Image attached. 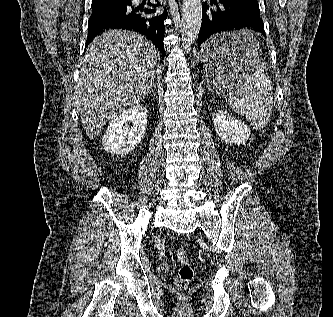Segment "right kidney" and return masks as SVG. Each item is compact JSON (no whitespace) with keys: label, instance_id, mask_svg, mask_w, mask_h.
I'll use <instances>...</instances> for the list:
<instances>
[{"label":"right kidney","instance_id":"ca27d5eb","mask_svg":"<svg viewBox=\"0 0 333 317\" xmlns=\"http://www.w3.org/2000/svg\"><path fill=\"white\" fill-rule=\"evenodd\" d=\"M128 122H132L130 127ZM147 127V109L140 104L114 117L102 138L103 148L111 154L126 155L141 142Z\"/></svg>","mask_w":333,"mask_h":317}]
</instances>
